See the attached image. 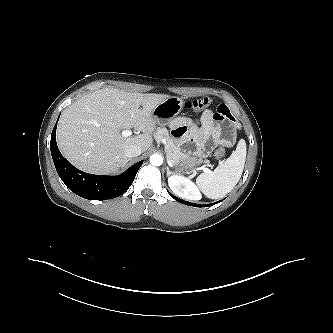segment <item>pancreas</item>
I'll use <instances>...</instances> for the list:
<instances>
[{
    "label": "pancreas",
    "instance_id": "1",
    "mask_svg": "<svg viewBox=\"0 0 333 333\" xmlns=\"http://www.w3.org/2000/svg\"><path fill=\"white\" fill-rule=\"evenodd\" d=\"M154 137L157 141H161L162 139L166 140L165 151L167 153V159L172 163L183 161L187 157L186 154L181 152L180 142L171 138L166 128H159ZM202 162L201 159H197L198 164Z\"/></svg>",
    "mask_w": 333,
    "mask_h": 333
}]
</instances>
